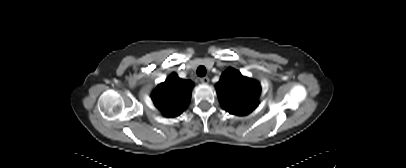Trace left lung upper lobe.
I'll use <instances>...</instances> for the list:
<instances>
[{"label":"left lung upper lobe","mask_w":406,"mask_h":168,"mask_svg":"<svg viewBox=\"0 0 406 168\" xmlns=\"http://www.w3.org/2000/svg\"><path fill=\"white\" fill-rule=\"evenodd\" d=\"M221 106L234 115H247L258 106L260 84L229 67L217 83Z\"/></svg>","instance_id":"5c2ea615"}]
</instances>
